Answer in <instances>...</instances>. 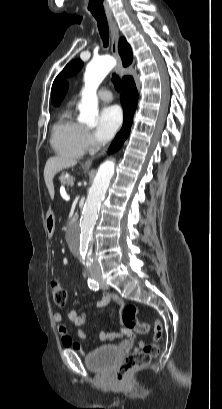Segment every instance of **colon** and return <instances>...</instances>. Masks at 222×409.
Instances as JSON below:
<instances>
[{"label":"colon","instance_id":"5ec220e1","mask_svg":"<svg viewBox=\"0 0 222 409\" xmlns=\"http://www.w3.org/2000/svg\"><path fill=\"white\" fill-rule=\"evenodd\" d=\"M51 292L55 304L58 307L63 308L66 305L68 299V294L64 286H62L57 280H54L51 283ZM137 312L138 309L135 305H126L122 312L123 324L126 327L135 330L136 332L147 333L150 330V326L146 323H140L137 320ZM153 330L154 342L144 345L141 350H138L127 356L119 365L116 372V379L119 382H124L131 372L146 366L153 357L157 356L159 347L156 342L161 339L163 329L161 324L159 322H156ZM68 340L69 337L66 336L63 341L65 342Z\"/></svg>","mask_w":222,"mask_h":409}]
</instances>
